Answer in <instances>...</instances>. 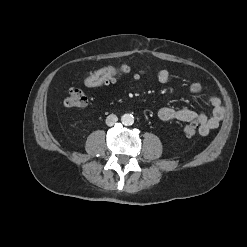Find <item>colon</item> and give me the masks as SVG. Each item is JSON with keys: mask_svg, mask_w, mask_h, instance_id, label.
I'll list each match as a JSON object with an SVG mask.
<instances>
[{"mask_svg": "<svg viewBox=\"0 0 247 247\" xmlns=\"http://www.w3.org/2000/svg\"><path fill=\"white\" fill-rule=\"evenodd\" d=\"M131 69L127 65L120 67L108 66L91 72L85 79L84 85L87 88H94L111 82L117 75H127ZM88 98L82 89H71L65 98L64 104L69 108H79L87 104ZM197 125L191 123L184 127V132L188 136H192L197 132Z\"/></svg>", "mask_w": 247, "mask_h": 247, "instance_id": "obj_1", "label": "colon"}]
</instances>
